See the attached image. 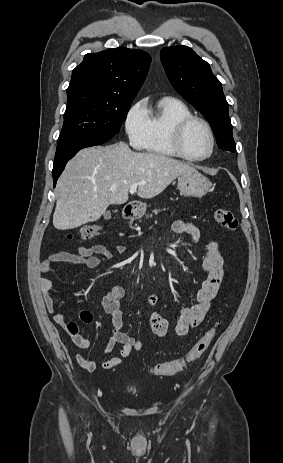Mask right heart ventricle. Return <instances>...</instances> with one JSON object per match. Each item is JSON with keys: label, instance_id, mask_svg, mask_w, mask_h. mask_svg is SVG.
<instances>
[{"label": "right heart ventricle", "instance_id": "right-heart-ventricle-1", "mask_svg": "<svg viewBox=\"0 0 283 463\" xmlns=\"http://www.w3.org/2000/svg\"><path fill=\"white\" fill-rule=\"evenodd\" d=\"M146 110L148 132L143 149L162 157H177L172 147L173 129L178 122L192 115L191 110L174 97H164Z\"/></svg>", "mask_w": 283, "mask_h": 463}]
</instances>
